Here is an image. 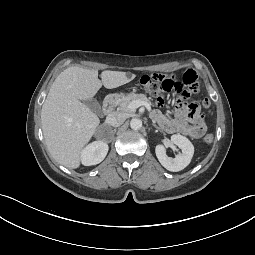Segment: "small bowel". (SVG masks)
<instances>
[{
  "label": "small bowel",
  "instance_id": "small-bowel-1",
  "mask_svg": "<svg viewBox=\"0 0 255 255\" xmlns=\"http://www.w3.org/2000/svg\"><path fill=\"white\" fill-rule=\"evenodd\" d=\"M153 117L169 133H181L191 138L198 139L206 131L204 124L198 122L197 115L178 106L174 118L163 115L159 111L153 113Z\"/></svg>",
  "mask_w": 255,
  "mask_h": 255
}]
</instances>
